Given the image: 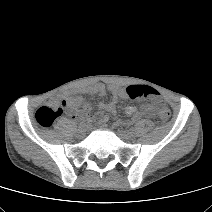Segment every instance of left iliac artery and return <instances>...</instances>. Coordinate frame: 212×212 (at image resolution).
I'll return each mask as SVG.
<instances>
[{
	"label": "left iliac artery",
	"instance_id": "1",
	"mask_svg": "<svg viewBox=\"0 0 212 212\" xmlns=\"http://www.w3.org/2000/svg\"><path fill=\"white\" fill-rule=\"evenodd\" d=\"M130 131L133 133L135 131V129L134 128H131Z\"/></svg>",
	"mask_w": 212,
	"mask_h": 212
}]
</instances>
